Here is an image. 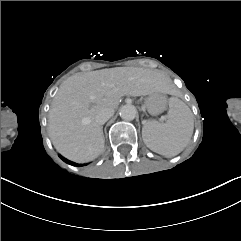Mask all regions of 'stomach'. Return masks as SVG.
I'll return each mask as SVG.
<instances>
[{
  "instance_id": "0dacf381",
  "label": "stomach",
  "mask_w": 241,
  "mask_h": 241,
  "mask_svg": "<svg viewBox=\"0 0 241 241\" xmlns=\"http://www.w3.org/2000/svg\"><path fill=\"white\" fill-rule=\"evenodd\" d=\"M145 106L152 116L159 115L166 109V97L162 93L150 94L145 100Z\"/></svg>"
}]
</instances>
